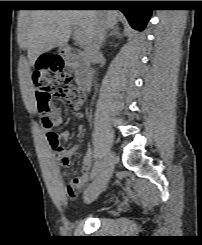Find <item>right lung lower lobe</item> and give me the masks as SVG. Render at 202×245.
<instances>
[{
    "label": "right lung lower lobe",
    "instance_id": "98d812e1",
    "mask_svg": "<svg viewBox=\"0 0 202 245\" xmlns=\"http://www.w3.org/2000/svg\"><path fill=\"white\" fill-rule=\"evenodd\" d=\"M82 7H118L132 28L142 31L150 19L152 10L142 1H81Z\"/></svg>",
    "mask_w": 202,
    "mask_h": 245
}]
</instances>
